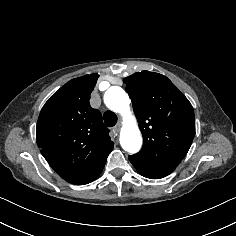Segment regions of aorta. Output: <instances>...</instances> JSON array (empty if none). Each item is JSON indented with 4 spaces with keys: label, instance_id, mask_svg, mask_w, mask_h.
Masks as SVG:
<instances>
[{
    "label": "aorta",
    "instance_id": "obj_1",
    "mask_svg": "<svg viewBox=\"0 0 236 236\" xmlns=\"http://www.w3.org/2000/svg\"><path fill=\"white\" fill-rule=\"evenodd\" d=\"M104 102L109 109L123 116L120 132L122 148L131 154L137 153L142 146V137L136 119L130 112L128 94L121 87L113 86L105 92Z\"/></svg>",
    "mask_w": 236,
    "mask_h": 236
}]
</instances>
